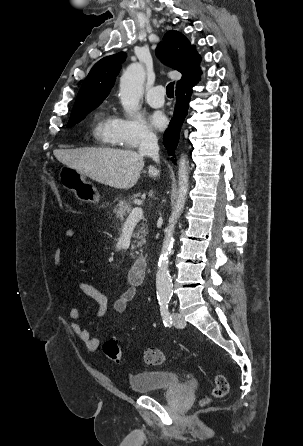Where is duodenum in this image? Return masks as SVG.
<instances>
[{"mask_svg": "<svg viewBox=\"0 0 303 446\" xmlns=\"http://www.w3.org/2000/svg\"><path fill=\"white\" fill-rule=\"evenodd\" d=\"M148 259L146 256H139L129 270V278L133 284L140 283L146 273Z\"/></svg>", "mask_w": 303, "mask_h": 446, "instance_id": "410a0bca", "label": "duodenum"}]
</instances>
